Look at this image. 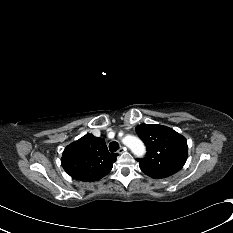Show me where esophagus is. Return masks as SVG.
<instances>
[{
	"label": "esophagus",
	"mask_w": 233,
	"mask_h": 233,
	"mask_svg": "<svg viewBox=\"0 0 233 233\" xmlns=\"http://www.w3.org/2000/svg\"><path fill=\"white\" fill-rule=\"evenodd\" d=\"M126 150H127L126 147H120V148L118 149V153H119V154H122V153H124Z\"/></svg>",
	"instance_id": "esophagus-1"
}]
</instances>
